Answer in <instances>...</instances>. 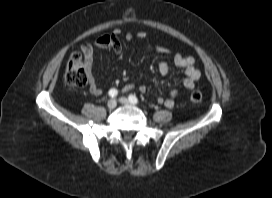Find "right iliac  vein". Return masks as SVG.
<instances>
[{"instance_id":"1","label":"right iliac vein","mask_w":272,"mask_h":198,"mask_svg":"<svg viewBox=\"0 0 272 198\" xmlns=\"http://www.w3.org/2000/svg\"><path fill=\"white\" fill-rule=\"evenodd\" d=\"M109 109H114L117 106V102L115 99H110L107 103Z\"/></svg>"}]
</instances>
